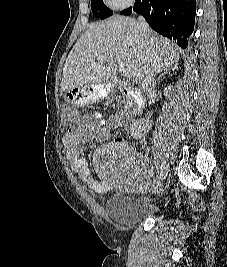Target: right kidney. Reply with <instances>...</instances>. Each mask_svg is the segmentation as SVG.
<instances>
[{
    "label": "right kidney",
    "mask_w": 227,
    "mask_h": 267,
    "mask_svg": "<svg viewBox=\"0 0 227 267\" xmlns=\"http://www.w3.org/2000/svg\"><path fill=\"white\" fill-rule=\"evenodd\" d=\"M171 90V85L165 88V93H168V91ZM151 124H149L148 121L145 120H138L135 122V124L132 126L130 132L131 136L135 139H141L145 136L146 133L150 130Z\"/></svg>",
    "instance_id": "right-kidney-1"
}]
</instances>
